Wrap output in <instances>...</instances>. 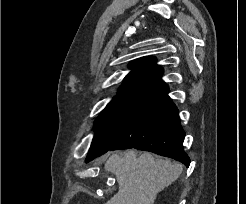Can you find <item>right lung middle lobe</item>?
Wrapping results in <instances>:
<instances>
[{"mask_svg": "<svg viewBox=\"0 0 246 204\" xmlns=\"http://www.w3.org/2000/svg\"><path fill=\"white\" fill-rule=\"evenodd\" d=\"M132 100L111 101L94 122L95 135L87 158L106 153L114 142ZM86 158V159H87Z\"/></svg>", "mask_w": 246, "mask_h": 204, "instance_id": "right-lung-middle-lobe-1", "label": "right lung middle lobe"}]
</instances>
